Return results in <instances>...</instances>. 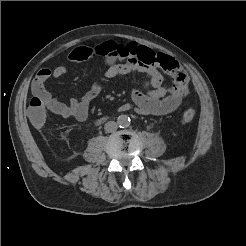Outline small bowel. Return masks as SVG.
<instances>
[{
  "label": "small bowel",
  "mask_w": 246,
  "mask_h": 246,
  "mask_svg": "<svg viewBox=\"0 0 246 246\" xmlns=\"http://www.w3.org/2000/svg\"><path fill=\"white\" fill-rule=\"evenodd\" d=\"M138 46L134 43L118 44L107 41L95 46H80L68 54L70 62H82L91 59L102 60L105 78H114L131 72H142L148 75L145 90L133 89L131 103L121 105L119 111L133 110L149 116H164L175 111L185 96L171 93L166 82V74L157 66H146L135 58ZM68 72L66 65L54 69L43 68L34 78L31 90L35 96L45 99L49 111L61 118L75 117L85 120L89 114V106L102 90V85L95 82L89 91L79 98H71L68 102H60L46 89L45 83L49 78H60Z\"/></svg>",
  "instance_id": "small-bowel-1"
}]
</instances>
